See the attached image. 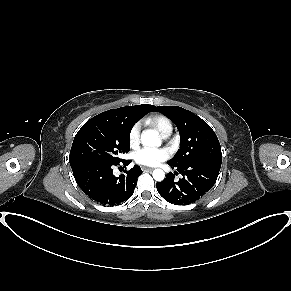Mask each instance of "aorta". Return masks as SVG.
I'll list each match as a JSON object with an SVG mask.
<instances>
[{
	"label": "aorta",
	"instance_id": "762f6f07",
	"mask_svg": "<svg viewBox=\"0 0 291 291\" xmlns=\"http://www.w3.org/2000/svg\"><path fill=\"white\" fill-rule=\"evenodd\" d=\"M142 144L146 146H160L161 140L155 130H147L142 133L141 136ZM154 180L162 181L165 178V173L161 169H155L152 174Z\"/></svg>",
	"mask_w": 291,
	"mask_h": 291
}]
</instances>
